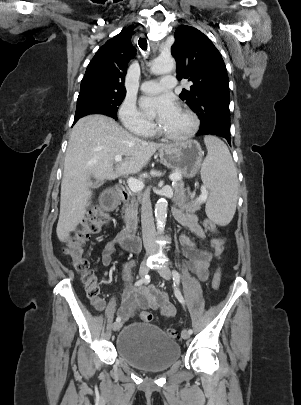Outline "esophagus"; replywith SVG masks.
<instances>
[{"instance_id": "esophagus-1", "label": "esophagus", "mask_w": 301, "mask_h": 405, "mask_svg": "<svg viewBox=\"0 0 301 405\" xmlns=\"http://www.w3.org/2000/svg\"><path fill=\"white\" fill-rule=\"evenodd\" d=\"M151 47H152L153 51H156V49L158 47V43L157 42H151Z\"/></svg>"}]
</instances>
